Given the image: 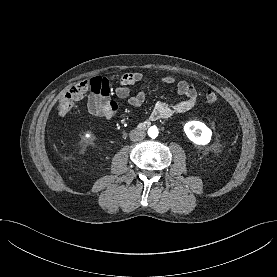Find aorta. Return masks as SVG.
<instances>
[{
  "label": "aorta",
  "mask_w": 277,
  "mask_h": 277,
  "mask_svg": "<svg viewBox=\"0 0 277 277\" xmlns=\"http://www.w3.org/2000/svg\"><path fill=\"white\" fill-rule=\"evenodd\" d=\"M159 134L158 128L156 126H152L148 129V135L151 138H156Z\"/></svg>",
  "instance_id": "obj_1"
}]
</instances>
